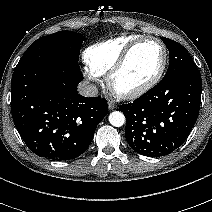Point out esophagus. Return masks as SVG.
I'll return each instance as SVG.
<instances>
[{"mask_svg":"<svg viewBox=\"0 0 212 212\" xmlns=\"http://www.w3.org/2000/svg\"><path fill=\"white\" fill-rule=\"evenodd\" d=\"M108 107L110 110H113L116 108V104L113 101H109L108 102Z\"/></svg>","mask_w":212,"mask_h":212,"instance_id":"1","label":"esophagus"}]
</instances>
